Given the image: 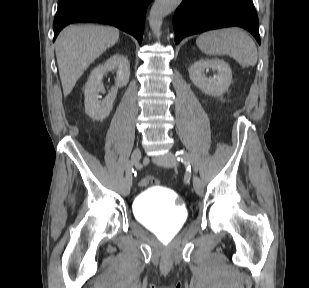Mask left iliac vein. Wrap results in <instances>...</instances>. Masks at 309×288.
Here are the masks:
<instances>
[{
	"label": "left iliac vein",
	"mask_w": 309,
	"mask_h": 288,
	"mask_svg": "<svg viewBox=\"0 0 309 288\" xmlns=\"http://www.w3.org/2000/svg\"><path fill=\"white\" fill-rule=\"evenodd\" d=\"M153 161L158 164L165 167H176L177 166V160L174 154L171 152H167L163 154L162 156L154 157ZM193 188L197 195H202L204 192L203 183L200 180L199 177L196 175L193 176Z\"/></svg>",
	"instance_id": "4c4485c4"
}]
</instances>
